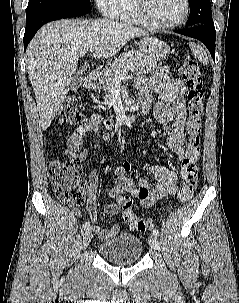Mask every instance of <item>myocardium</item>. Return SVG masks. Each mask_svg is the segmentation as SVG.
Instances as JSON below:
<instances>
[{
    "mask_svg": "<svg viewBox=\"0 0 239 303\" xmlns=\"http://www.w3.org/2000/svg\"><path fill=\"white\" fill-rule=\"evenodd\" d=\"M132 2H133L135 13L138 16L141 23L153 29L168 30V29L176 28L182 23H184L190 14V1L183 0L184 12L179 19H177L174 22L166 23V24L156 23L152 21L148 15V7H147L148 0H132Z\"/></svg>",
    "mask_w": 239,
    "mask_h": 303,
    "instance_id": "obj_1",
    "label": "myocardium"
}]
</instances>
